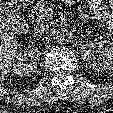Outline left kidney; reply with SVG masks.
Masks as SVG:
<instances>
[{
	"label": "left kidney",
	"instance_id": "obj_1",
	"mask_svg": "<svg viewBox=\"0 0 113 113\" xmlns=\"http://www.w3.org/2000/svg\"><path fill=\"white\" fill-rule=\"evenodd\" d=\"M98 47L99 52L104 56L103 59H94L91 55ZM82 58L86 65L97 71L113 70V43L108 40L99 42H88L81 47Z\"/></svg>",
	"mask_w": 113,
	"mask_h": 113
}]
</instances>
